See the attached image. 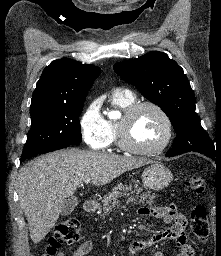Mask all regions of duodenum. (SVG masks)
<instances>
[{
	"label": "duodenum",
	"mask_w": 221,
	"mask_h": 256,
	"mask_svg": "<svg viewBox=\"0 0 221 256\" xmlns=\"http://www.w3.org/2000/svg\"><path fill=\"white\" fill-rule=\"evenodd\" d=\"M96 207L97 203L92 199L86 200L83 204V208L86 212H94Z\"/></svg>",
	"instance_id": "obj_1"
}]
</instances>
